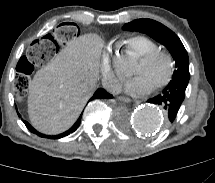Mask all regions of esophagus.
I'll list each match as a JSON object with an SVG mask.
<instances>
[{"label":"esophagus","mask_w":215,"mask_h":183,"mask_svg":"<svg viewBox=\"0 0 215 183\" xmlns=\"http://www.w3.org/2000/svg\"><path fill=\"white\" fill-rule=\"evenodd\" d=\"M118 99L122 102H125V103H130L131 102V99L128 98V97H125V96H119Z\"/></svg>","instance_id":"esophagus-1"}]
</instances>
